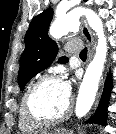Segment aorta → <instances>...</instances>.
Listing matches in <instances>:
<instances>
[{
  "mask_svg": "<svg viewBox=\"0 0 116 134\" xmlns=\"http://www.w3.org/2000/svg\"><path fill=\"white\" fill-rule=\"evenodd\" d=\"M81 15H85L89 26L96 32L98 36V44L96 46L94 58L88 65L79 88L75 108V113L78 118L85 116L91 109L102 76L107 54V42L104 35L103 23L94 11L78 8L57 18L50 28V35L53 38H61L74 30Z\"/></svg>",
  "mask_w": 116,
  "mask_h": 134,
  "instance_id": "1",
  "label": "aorta"
}]
</instances>
